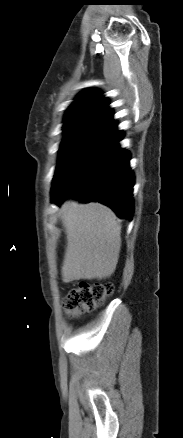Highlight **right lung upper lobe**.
<instances>
[{"label":"right lung upper lobe","instance_id":"cb5924a9","mask_svg":"<svg viewBox=\"0 0 183 438\" xmlns=\"http://www.w3.org/2000/svg\"><path fill=\"white\" fill-rule=\"evenodd\" d=\"M108 105L109 102L101 97V92L97 89L80 93L67 109L63 129L65 131L76 129L100 130L113 122V112Z\"/></svg>","mask_w":183,"mask_h":438}]
</instances>
